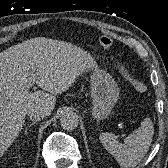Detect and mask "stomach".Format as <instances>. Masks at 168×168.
<instances>
[{"instance_id":"1","label":"stomach","mask_w":168,"mask_h":168,"mask_svg":"<svg viewBox=\"0 0 168 168\" xmlns=\"http://www.w3.org/2000/svg\"><path fill=\"white\" fill-rule=\"evenodd\" d=\"M88 72V71H86ZM91 114L98 122L106 119L119 99V88L109 73L90 69Z\"/></svg>"}]
</instances>
